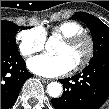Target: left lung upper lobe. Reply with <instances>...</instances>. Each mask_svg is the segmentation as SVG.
Instances as JSON below:
<instances>
[{"label": "left lung upper lobe", "instance_id": "5c2ea615", "mask_svg": "<svg viewBox=\"0 0 109 109\" xmlns=\"http://www.w3.org/2000/svg\"><path fill=\"white\" fill-rule=\"evenodd\" d=\"M72 19H80L86 23V25L91 30L93 44H94V55L93 58L109 53V27L105 25L102 21H100L95 16L78 12L76 13ZM81 92L80 88H73L68 90L67 99L70 102H75L80 99Z\"/></svg>", "mask_w": 109, "mask_h": 109}]
</instances>
